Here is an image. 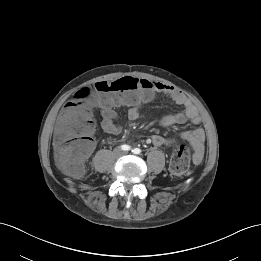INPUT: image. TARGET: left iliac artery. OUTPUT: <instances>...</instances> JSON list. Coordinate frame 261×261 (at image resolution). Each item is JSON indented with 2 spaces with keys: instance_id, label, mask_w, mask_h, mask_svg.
Wrapping results in <instances>:
<instances>
[{
  "instance_id": "1",
  "label": "left iliac artery",
  "mask_w": 261,
  "mask_h": 261,
  "mask_svg": "<svg viewBox=\"0 0 261 261\" xmlns=\"http://www.w3.org/2000/svg\"><path fill=\"white\" fill-rule=\"evenodd\" d=\"M132 152H133L134 154H139V153L141 152V150L138 149V148H135V149L132 150Z\"/></svg>"
}]
</instances>
